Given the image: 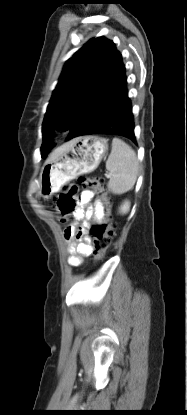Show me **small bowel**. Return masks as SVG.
Instances as JSON below:
<instances>
[{
  "label": "small bowel",
  "instance_id": "c3829d8e",
  "mask_svg": "<svg viewBox=\"0 0 187 415\" xmlns=\"http://www.w3.org/2000/svg\"><path fill=\"white\" fill-rule=\"evenodd\" d=\"M94 194L91 191L85 190L78 196V210L75 212L74 217L76 220L84 219L85 221L99 222L104 219V204L101 200L97 199L90 205ZM64 238L68 243V250L71 256L68 259L70 266L78 267L82 264L83 259L89 256L92 252V247L87 239L85 227L80 231H76L74 225H70L64 230Z\"/></svg>",
  "mask_w": 187,
  "mask_h": 415
}]
</instances>
